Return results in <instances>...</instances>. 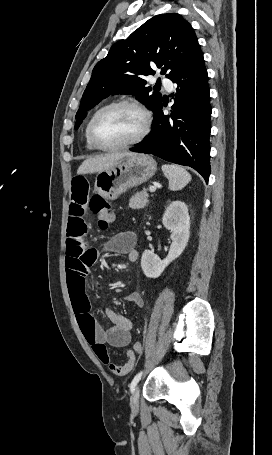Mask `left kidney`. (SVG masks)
Masks as SVG:
<instances>
[{"label": "left kidney", "instance_id": "1", "mask_svg": "<svg viewBox=\"0 0 272 455\" xmlns=\"http://www.w3.org/2000/svg\"><path fill=\"white\" fill-rule=\"evenodd\" d=\"M162 222L171 231L172 243L167 257L163 260L150 250L144 251L141 258V267L148 278L159 277L164 269L182 254L189 240L190 217L184 202H172L165 210Z\"/></svg>", "mask_w": 272, "mask_h": 455}]
</instances>
